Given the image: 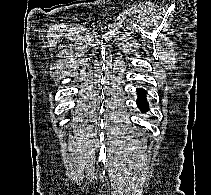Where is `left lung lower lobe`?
<instances>
[{"label": "left lung lower lobe", "mask_w": 211, "mask_h": 195, "mask_svg": "<svg viewBox=\"0 0 211 195\" xmlns=\"http://www.w3.org/2000/svg\"><path fill=\"white\" fill-rule=\"evenodd\" d=\"M137 93H138V100H137V104L138 107L141 109V111L146 112L149 109V104L147 102L146 99V91L144 89H137Z\"/></svg>", "instance_id": "1"}]
</instances>
